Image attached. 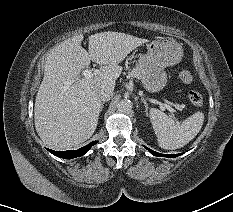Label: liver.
Segmentation results:
<instances>
[{
	"label": "liver",
	"mask_w": 233,
	"mask_h": 212,
	"mask_svg": "<svg viewBox=\"0 0 233 212\" xmlns=\"http://www.w3.org/2000/svg\"><path fill=\"white\" fill-rule=\"evenodd\" d=\"M83 38L76 35L57 44L46 58L34 120L39 137L52 149L78 147L92 136L103 108L98 88L108 85L114 89L122 72L119 63L149 41L120 32H101L89 36L87 52L81 46ZM90 61L103 66L92 77H81Z\"/></svg>",
	"instance_id": "obj_1"
}]
</instances>
